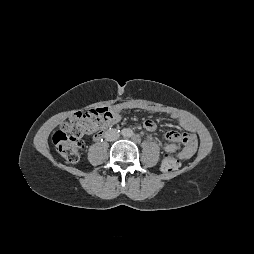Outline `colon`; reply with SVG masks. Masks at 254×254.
<instances>
[{"label": "colon", "instance_id": "obj_1", "mask_svg": "<svg viewBox=\"0 0 254 254\" xmlns=\"http://www.w3.org/2000/svg\"><path fill=\"white\" fill-rule=\"evenodd\" d=\"M112 120V108L109 107L76 113L54 134V146L66 163H77L84 147L82 137L110 127ZM161 167L164 172L171 173L178 169L179 161L173 155H165Z\"/></svg>", "mask_w": 254, "mask_h": 254}]
</instances>
